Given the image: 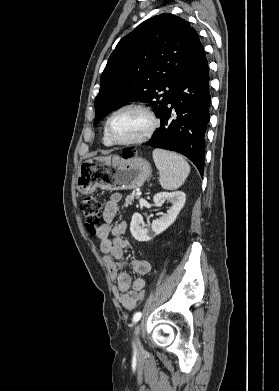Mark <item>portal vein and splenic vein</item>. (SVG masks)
<instances>
[{
	"instance_id": "1",
	"label": "portal vein and splenic vein",
	"mask_w": 279,
	"mask_h": 391,
	"mask_svg": "<svg viewBox=\"0 0 279 391\" xmlns=\"http://www.w3.org/2000/svg\"><path fill=\"white\" fill-rule=\"evenodd\" d=\"M136 194H137L138 196H140L142 193H141V191H137Z\"/></svg>"
}]
</instances>
